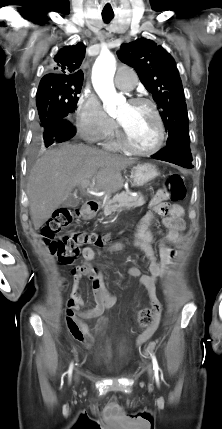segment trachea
I'll return each mask as SVG.
<instances>
[{
    "instance_id": "trachea-1",
    "label": "trachea",
    "mask_w": 222,
    "mask_h": 429,
    "mask_svg": "<svg viewBox=\"0 0 222 429\" xmlns=\"http://www.w3.org/2000/svg\"><path fill=\"white\" fill-rule=\"evenodd\" d=\"M102 18H103L105 23H109L114 18V13L113 12H103Z\"/></svg>"
}]
</instances>
